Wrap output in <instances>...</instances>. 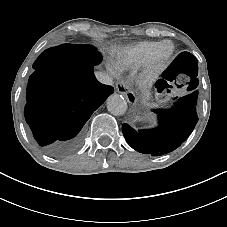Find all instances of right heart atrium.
<instances>
[{
  "label": "right heart atrium",
  "instance_id": "d8ad5b80",
  "mask_svg": "<svg viewBox=\"0 0 227 227\" xmlns=\"http://www.w3.org/2000/svg\"><path fill=\"white\" fill-rule=\"evenodd\" d=\"M110 71H111V73L113 74V75H115V76H119V74H120V71H119V69L118 68H116V67H110Z\"/></svg>",
  "mask_w": 227,
  "mask_h": 227
}]
</instances>
